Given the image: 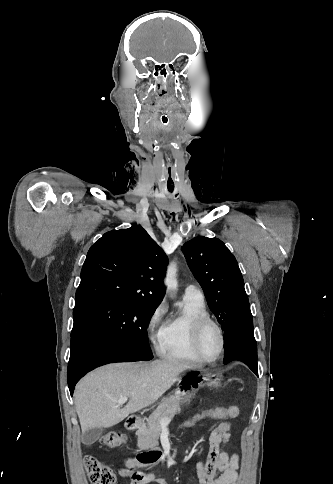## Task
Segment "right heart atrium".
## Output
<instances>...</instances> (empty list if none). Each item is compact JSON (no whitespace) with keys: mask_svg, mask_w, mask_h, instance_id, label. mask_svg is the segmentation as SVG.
<instances>
[{"mask_svg":"<svg viewBox=\"0 0 333 484\" xmlns=\"http://www.w3.org/2000/svg\"><path fill=\"white\" fill-rule=\"evenodd\" d=\"M165 313V305L159 304L150 314L146 322V333L148 339L154 346H159L160 340V324Z\"/></svg>","mask_w":333,"mask_h":484,"instance_id":"d8ad5b80","label":"right heart atrium"}]
</instances>
